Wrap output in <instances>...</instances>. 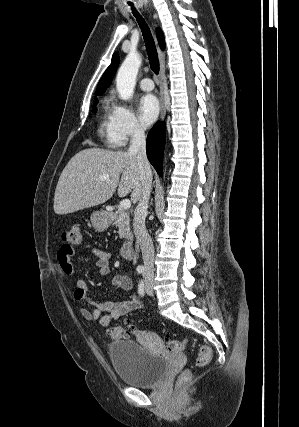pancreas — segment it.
I'll return each instance as SVG.
<instances>
[{"label": "pancreas", "instance_id": "pancreas-1", "mask_svg": "<svg viewBox=\"0 0 299 427\" xmlns=\"http://www.w3.org/2000/svg\"><path fill=\"white\" fill-rule=\"evenodd\" d=\"M118 216L114 225L118 228V233L121 238H126L128 241L132 240V233L130 230L129 214L122 208H118Z\"/></svg>", "mask_w": 299, "mask_h": 427}]
</instances>
